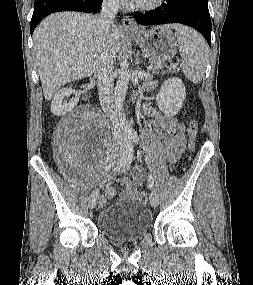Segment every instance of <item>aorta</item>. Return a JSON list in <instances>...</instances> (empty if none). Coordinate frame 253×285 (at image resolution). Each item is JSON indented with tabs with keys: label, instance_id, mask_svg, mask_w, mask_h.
Returning a JSON list of instances; mask_svg holds the SVG:
<instances>
[{
	"label": "aorta",
	"instance_id": "aorta-1",
	"mask_svg": "<svg viewBox=\"0 0 253 285\" xmlns=\"http://www.w3.org/2000/svg\"><path fill=\"white\" fill-rule=\"evenodd\" d=\"M130 73L127 63L121 64L120 73L116 82L114 90V101H115V110L119 119V124L121 130L125 134L132 133V128L123 113V101L125 99L128 85H129Z\"/></svg>",
	"mask_w": 253,
	"mask_h": 285
}]
</instances>
